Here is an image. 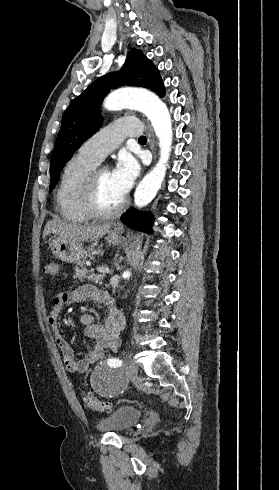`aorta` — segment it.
I'll use <instances>...</instances> for the list:
<instances>
[{
    "instance_id": "obj_1",
    "label": "aorta",
    "mask_w": 279,
    "mask_h": 490,
    "mask_svg": "<svg viewBox=\"0 0 279 490\" xmlns=\"http://www.w3.org/2000/svg\"><path fill=\"white\" fill-rule=\"evenodd\" d=\"M107 110L123 108L136 109L150 120L159 141L160 158L156 166L145 175L134 194L135 205L139 208L148 205L156 196L164 180L167 162L173 140L172 122L167 106L151 92L139 90H119L111 93L104 101ZM130 272H124L126 278Z\"/></svg>"
}]
</instances>
